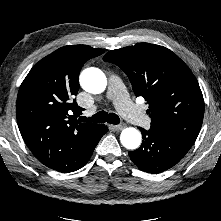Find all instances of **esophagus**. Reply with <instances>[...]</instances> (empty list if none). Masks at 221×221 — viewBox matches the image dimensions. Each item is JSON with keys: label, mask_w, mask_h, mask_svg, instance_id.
Here are the masks:
<instances>
[{"label": "esophagus", "mask_w": 221, "mask_h": 221, "mask_svg": "<svg viewBox=\"0 0 221 221\" xmlns=\"http://www.w3.org/2000/svg\"><path fill=\"white\" fill-rule=\"evenodd\" d=\"M125 127H126V124H119V125H115L114 129L116 131H120V130H123Z\"/></svg>", "instance_id": "obj_1"}]
</instances>
